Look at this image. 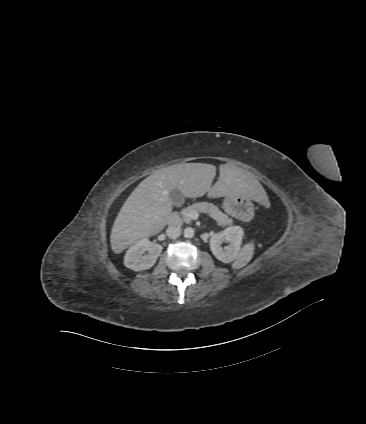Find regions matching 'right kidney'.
<instances>
[{
  "label": "right kidney",
  "instance_id": "1",
  "mask_svg": "<svg viewBox=\"0 0 366 424\" xmlns=\"http://www.w3.org/2000/svg\"><path fill=\"white\" fill-rule=\"evenodd\" d=\"M162 249L160 244L143 238L126 251L124 265L134 271L150 269L156 263ZM146 252L147 254H145Z\"/></svg>",
  "mask_w": 366,
  "mask_h": 424
}]
</instances>
